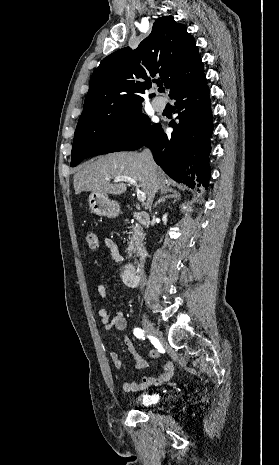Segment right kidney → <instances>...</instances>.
Segmentation results:
<instances>
[{
	"instance_id": "1",
	"label": "right kidney",
	"mask_w": 279,
	"mask_h": 465,
	"mask_svg": "<svg viewBox=\"0 0 279 465\" xmlns=\"http://www.w3.org/2000/svg\"><path fill=\"white\" fill-rule=\"evenodd\" d=\"M162 220H163L164 224H166V222H167V214H164V215H163Z\"/></svg>"
}]
</instances>
